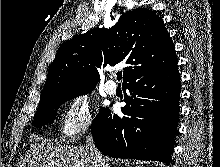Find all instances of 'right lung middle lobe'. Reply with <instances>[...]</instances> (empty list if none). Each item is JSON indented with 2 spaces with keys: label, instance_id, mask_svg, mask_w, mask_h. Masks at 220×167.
Returning a JSON list of instances; mask_svg holds the SVG:
<instances>
[{
  "label": "right lung middle lobe",
  "instance_id": "dd1d6c3e",
  "mask_svg": "<svg viewBox=\"0 0 220 167\" xmlns=\"http://www.w3.org/2000/svg\"><path fill=\"white\" fill-rule=\"evenodd\" d=\"M95 86L66 89L40 101L37 113L35 115L34 124L36 127H42L48 123H52L56 118L57 110L65 101L80 95L87 94L92 91ZM103 109L102 107L100 110Z\"/></svg>",
  "mask_w": 220,
  "mask_h": 167
}]
</instances>
